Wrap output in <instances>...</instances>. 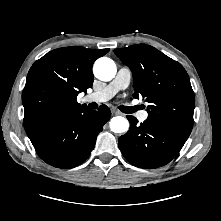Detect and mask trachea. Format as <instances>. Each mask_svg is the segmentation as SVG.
I'll list each match as a JSON object with an SVG mask.
<instances>
[{
  "instance_id": "trachea-1",
  "label": "trachea",
  "mask_w": 221,
  "mask_h": 221,
  "mask_svg": "<svg viewBox=\"0 0 221 221\" xmlns=\"http://www.w3.org/2000/svg\"><path fill=\"white\" fill-rule=\"evenodd\" d=\"M119 109L124 113H133L136 110H139V107H127V106H119Z\"/></svg>"
}]
</instances>
